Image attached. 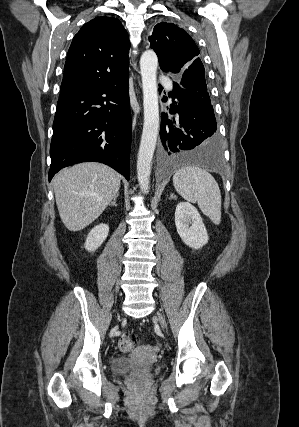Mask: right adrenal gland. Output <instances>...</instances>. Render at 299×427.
<instances>
[{
	"mask_svg": "<svg viewBox=\"0 0 299 427\" xmlns=\"http://www.w3.org/2000/svg\"><path fill=\"white\" fill-rule=\"evenodd\" d=\"M118 196H119V193H117V194L114 196L113 201L110 203V205L117 206V204H116V199H117V197H118Z\"/></svg>",
	"mask_w": 299,
	"mask_h": 427,
	"instance_id": "right-adrenal-gland-1",
	"label": "right adrenal gland"
}]
</instances>
